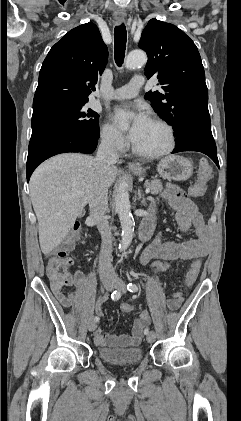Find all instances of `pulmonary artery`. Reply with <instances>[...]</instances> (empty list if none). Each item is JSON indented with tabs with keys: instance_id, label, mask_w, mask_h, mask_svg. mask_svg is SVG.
<instances>
[{
	"instance_id": "e3ab8cb5",
	"label": "pulmonary artery",
	"mask_w": 241,
	"mask_h": 421,
	"mask_svg": "<svg viewBox=\"0 0 241 421\" xmlns=\"http://www.w3.org/2000/svg\"><path fill=\"white\" fill-rule=\"evenodd\" d=\"M143 85V78L140 76L134 77L127 85H124L106 96L108 99H130L139 93Z\"/></svg>"
}]
</instances>
